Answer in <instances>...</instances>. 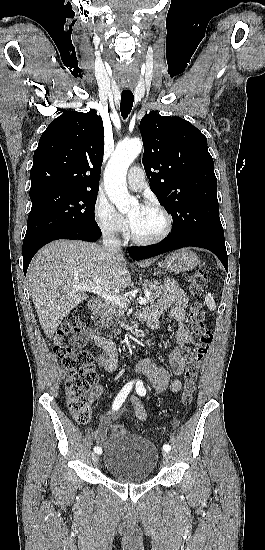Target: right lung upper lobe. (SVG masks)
<instances>
[{
  "label": "right lung upper lobe",
  "mask_w": 265,
  "mask_h": 550,
  "mask_svg": "<svg viewBox=\"0 0 265 550\" xmlns=\"http://www.w3.org/2000/svg\"><path fill=\"white\" fill-rule=\"evenodd\" d=\"M103 151V122L94 110L62 114L41 135L33 156L30 190L98 192Z\"/></svg>",
  "instance_id": "cb5924a9"
}]
</instances>
